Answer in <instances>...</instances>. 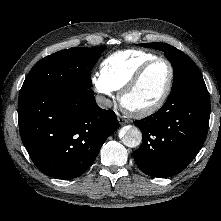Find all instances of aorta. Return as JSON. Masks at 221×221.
Masks as SVG:
<instances>
[{
    "label": "aorta",
    "mask_w": 221,
    "mask_h": 221,
    "mask_svg": "<svg viewBox=\"0 0 221 221\" xmlns=\"http://www.w3.org/2000/svg\"><path fill=\"white\" fill-rule=\"evenodd\" d=\"M121 141L122 143L130 148L137 147L142 142V133L136 126H126L121 132Z\"/></svg>",
    "instance_id": "aorta-1"
}]
</instances>
